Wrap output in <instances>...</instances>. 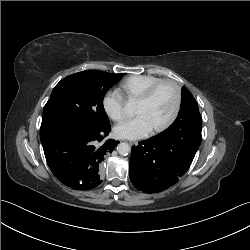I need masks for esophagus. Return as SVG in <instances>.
<instances>
[{"mask_svg": "<svg viewBox=\"0 0 250 250\" xmlns=\"http://www.w3.org/2000/svg\"><path fill=\"white\" fill-rule=\"evenodd\" d=\"M130 145H137V142H129Z\"/></svg>", "mask_w": 250, "mask_h": 250, "instance_id": "1", "label": "esophagus"}]
</instances>
